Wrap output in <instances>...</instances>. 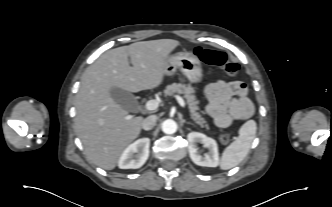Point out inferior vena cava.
I'll return each instance as SVG.
<instances>
[{"label": "inferior vena cava", "instance_id": "obj_1", "mask_svg": "<svg viewBox=\"0 0 332 207\" xmlns=\"http://www.w3.org/2000/svg\"><path fill=\"white\" fill-rule=\"evenodd\" d=\"M157 116L151 115L145 118L142 122V128L144 130H151L156 125Z\"/></svg>", "mask_w": 332, "mask_h": 207}]
</instances>
